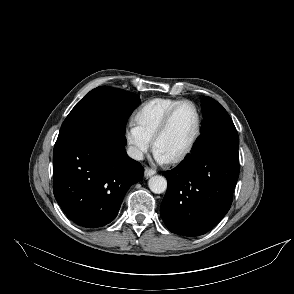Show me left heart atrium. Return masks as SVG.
Instances as JSON below:
<instances>
[{"mask_svg":"<svg viewBox=\"0 0 294 294\" xmlns=\"http://www.w3.org/2000/svg\"><path fill=\"white\" fill-rule=\"evenodd\" d=\"M155 159L160 163H165L168 161V159L163 156L161 153H159L157 150H155Z\"/></svg>","mask_w":294,"mask_h":294,"instance_id":"obj_1","label":"left heart atrium"}]
</instances>
